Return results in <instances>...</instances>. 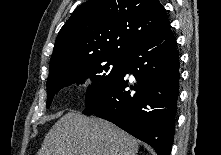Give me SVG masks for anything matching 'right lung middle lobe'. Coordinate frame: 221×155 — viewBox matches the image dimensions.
Masks as SVG:
<instances>
[{
  "label": "right lung middle lobe",
  "instance_id": "right-lung-middle-lobe-1",
  "mask_svg": "<svg viewBox=\"0 0 221 155\" xmlns=\"http://www.w3.org/2000/svg\"><path fill=\"white\" fill-rule=\"evenodd\" d=\"M126 57H106L75 62L49 75L47 80V108L54 95L63 87L84 78H91L93 88L88 90L86 104L104 92L119 75Z\"/></svg>",
  "mask_w": 221,
  "mask_h": 155
}]
</instances>
